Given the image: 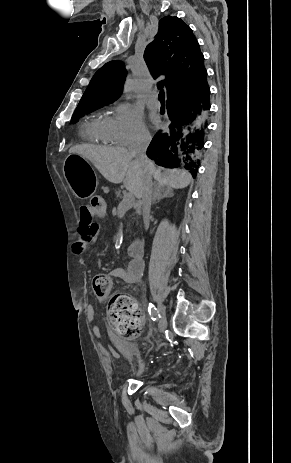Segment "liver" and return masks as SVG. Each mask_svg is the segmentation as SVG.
<instances>
[{
	"label": "liver",
	"mask_w": 291,
	"mask_h": 463,
	"mask_svg": "<svg viewBox=\"0 0 291 463\" xmlns=\"http://www.w3.org/2000/svg\"><path fill=\"white\" fill-rule=\"evenodd\" d=\"M70 154H77L90 160L99 172L110 182L124 184L125 188L138 199L141 198L144 167L123 147H103L96 145H76L69 149ZM151 174L158 185L171 189H182L192 181L190 173L184 170H171L161 173L160 168L149 160Z\"/></svg>",
	"instance_id": "liver-1"
}]
</instances>
